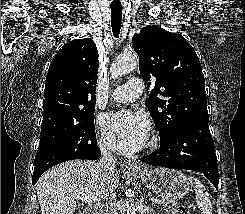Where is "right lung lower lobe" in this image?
<instances>
[{"mask_svg":"<svg viewBox=\"0 0 245 214\" xmlns=\"http://www.w3.org/2000/svg\"><path fill=\"white\" fill-rule=\"evenodd\" d=\"M90 160L99 159L101 157V152L98 146H94L92 149L88 152ZM46 170L36 171L34 170L33 177H32V184L35 185V183L38 181L40 176L45 172Z\"/></svg>","mask_w":245,"mask_h":214,"instance_id":"right-lung-lower-lobe-1","label":"right lung lower lobe"}]
</instances>
